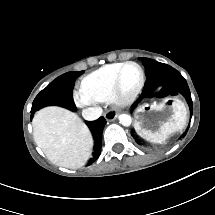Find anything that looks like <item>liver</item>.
Segmentation results:
<instances>
[{
    "label": "liver",
    "mask_w": 215,
    "mask_h": 215,
    "mask_svg": "<svg viewBox=\"0 0 215 215\" xmlns=\"http://www.w3.org/2000/svg\"><path fill=\"white\" fill-rule=\"evenodd\" d=\"M33 138L52 163L70 169L83 167L92 156L93 137L77 113L57 105L34 114Z\"/></svg>",
    "instance_id": "1"
}]
</instances>
